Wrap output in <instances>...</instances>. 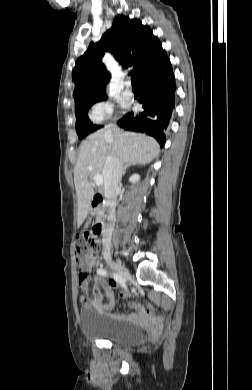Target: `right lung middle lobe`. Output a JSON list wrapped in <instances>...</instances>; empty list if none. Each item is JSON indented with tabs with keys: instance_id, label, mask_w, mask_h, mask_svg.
I'll list each match as a JSON object with an SVG mask.
<instances>
[{
	"instance_id": "dd1d6c3e",
	"label": "right lung middle lobe",
	"mask_w": 252,
	"mask_h": 390,
	"mask_svg": "<svg viewBox=\"0 0 252 390\" xmlns=\"http://www.w3.org/2000/svg\"><path fill=\"white\" fill-rule=\"evenodd\" d=\"M106 99H107V97L86 103L78 108H75L76 131H77L79 139H83L88 134L101 128V126L93 125L90 122V120L87 116V112L93 103L98 102V101H102V100H106Z\"/></svg>"
}]
</instances>
